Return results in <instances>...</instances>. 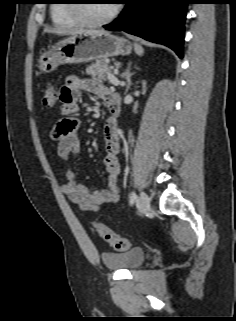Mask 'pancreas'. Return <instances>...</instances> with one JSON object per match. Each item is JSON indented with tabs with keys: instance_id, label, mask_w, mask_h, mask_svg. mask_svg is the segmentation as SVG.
<instances>
[{
	"instance_id": "cf45deb5",
	"label": "pancreas",
	"mask_w": 236,
	"mask_h": 321,
	"mask_svg": "<svg viewBox=\"0 0 236 321\" xmlns=\"http://www.w3.org/2000/svg\"><path fill=\"white\" fill-rule=\"evenodd\" d=\"M112 67L109 66V61L102 59L87 66L86 73L94 79L99 81L106 80L107 73L111 72Z\"/></svg>"
}]
</instances>
